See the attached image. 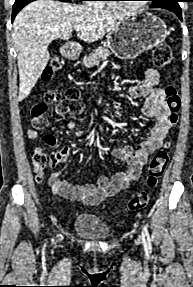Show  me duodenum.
I'll return each instance as SVG.
<instances>
[{"label":"duodenum","instance_id":"duodenum-1","mask_svg":"<svg viewBox=\"0 0 193 287\" xmlns=\"http://www.w3.org/2000/svg\"><path fill=\"white\" fill-rule=\"evenodd\" d=\"M80 54V47L75 43H67L63 47V55L66 59L74 60Z\"/></svg>","mask_w":193,"mask_h":287}]
</instances>
